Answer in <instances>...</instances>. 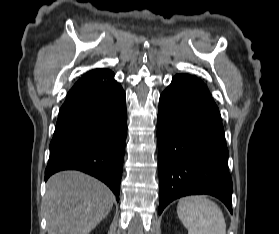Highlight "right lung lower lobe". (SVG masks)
I'll return each mask as SVG.
<instances>
[{"mask_svg": "<svg viewBox=\"0 0 279 234\" xmlns=\"http://www.w3.org/2000/svg\"><path fill=\"white\" fill-rule=\"evenodd\" d=\"M114 75L91 70L68 92L50 143L45 181L61 170H80L107 184L119 200L127 111Z\"/></svg>", "mask_w": 279, "mask_h": 234, "instance_id": "98d812e1", "label": "right lung lower lobe"}]
</instances>
